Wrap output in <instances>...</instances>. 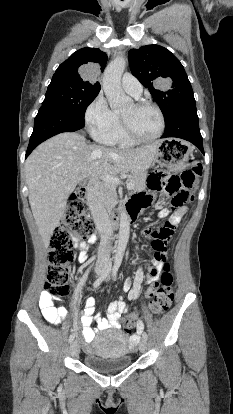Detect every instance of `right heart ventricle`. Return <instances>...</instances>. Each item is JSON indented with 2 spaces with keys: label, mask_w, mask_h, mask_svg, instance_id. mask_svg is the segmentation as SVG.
Wrapping results in <instances>:
<instances>
[{
  "label": "right heart ventricle",
  "mask_w": 233,
  "mask_h": 414,
  "mask_svg": "<svg viewBox=\"0 0 233 414\" xmlns=\"http://www.w3.org/2000/svg\"><path fill=\"white\" fill-rule=\"evenodd\" d=\"M108 144L122 147V148L132 147L136 144L135 141L130 139L125 134L122 128V125H121L120 116L117 114H116V120L114 123V127L112 130L111 138Z\"/></svg>",
  "instance_id": "1"
}]
</instances>
